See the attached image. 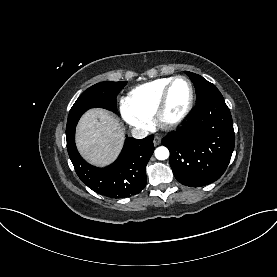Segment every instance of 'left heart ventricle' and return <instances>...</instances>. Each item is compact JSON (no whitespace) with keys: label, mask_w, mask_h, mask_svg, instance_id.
Wrapping results in <instances>:
<instances>
[{"label":"left heart ventricle","mask_w":277,"mask_h":277,"mask_svg":"<svg viewBox=\"0 0 277 277\" xmlns=\"http://www.w3.org/2000/svg\"><path fill=\"white\" fill-rule=\"evenodd\" d=\"M190 90L187 82L177 81L171 89L165 117L174 119L181 114L189 100Z\"/></svg>","instance_id":"left-heart-ventricle-1"}]
</instances>
